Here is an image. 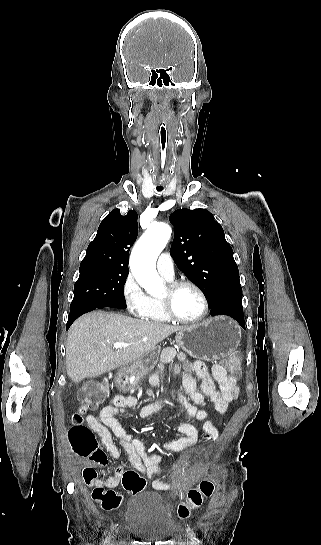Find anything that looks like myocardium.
<instances>
[{
	"mask_svg": "<svg viewBox=\"0 0 321 545\" xmlns=\"http://www.w3.org/2000/svg\"><path fill=\"white\" fill-rule=\"evenodd\" d=\"M166 288L170 294H174L183 288H191L198 293L202 301V312L195 319H183L175 313L167 301H159L161 310L170 321L188 326L197 325L204 321L209 313L210 305L207 295L200 286L191 281H175L168 283Z\"/></svg>",
	"mask_w": 321,
	"mask_h": 545,
	"instance_id": "obj_1",
	"label": "myocardium"
}]
</instances>
